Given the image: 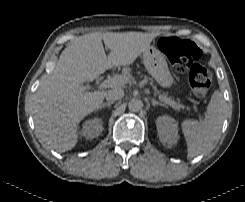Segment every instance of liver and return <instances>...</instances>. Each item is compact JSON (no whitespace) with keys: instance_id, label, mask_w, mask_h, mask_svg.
Returning a JSON list of instances; mask_svg holds the SVG:
<instances>
[{"instance_id":"6515ba94","label":"liver","mask_w":245,"mask_h":202,"mask_svg":"<svg viewBox=\"0 0 245 202\" xmlns=\"http://www.w3.org/2000/svg\"><path fill=\"white\" fill-rule=\"evenodd\" d=\"M156 36L141 32H96L67 46L35 94L33 117L40 140L59 152L74 148L80 121L97 110L106 95L105 91L85 92L81 85L109 68L133 64ZM102 41L111 51L108 57Z\"/></svg>"}]
</instances>
